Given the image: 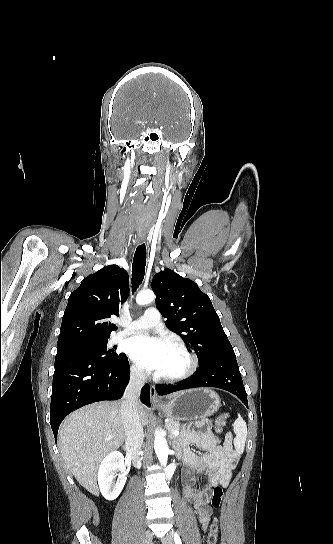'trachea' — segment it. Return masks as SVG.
<instances>
[{
	"instance_id": "trachea-1",
	"label": "trachea",
	"mask_w": 333,
	"mask_h": 544,
	"mask_svg": "<svg viewBox=\"0 0 333 544\" xmlns=\"http://www.w3.org/2000/svg\"><path fill=\"white\" fill-rule=\"evenodd\" d=\"M146 266V246L141 244L136 248L133 264H132V291L135 292L136 289L141 284Z\"/></svg>"
}]
</instances>
